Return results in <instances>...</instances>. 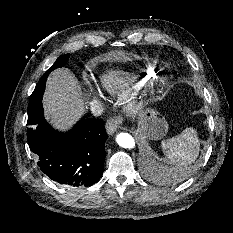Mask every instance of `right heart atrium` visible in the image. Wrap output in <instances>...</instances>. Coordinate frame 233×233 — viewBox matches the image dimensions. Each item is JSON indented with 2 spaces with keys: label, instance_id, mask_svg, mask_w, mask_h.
<instances>
[{
  "label": "right heart atrium",
  "instance_id": "right-heart-atrium-1",
  "mask_svg": "<svg viewBox=\"0 0 233 233\" xmlns=\"http://www.w3.org/2000/svg\"><path fill=\"white\" fill-rule=\"evenodd\" d=\"M87 86H88L89 90H90L91 92H93V89H92L91 85L87 83Z\"/></svg>",
  "mask_w": 233,
  "mask_h": 233
}]
</instances>
